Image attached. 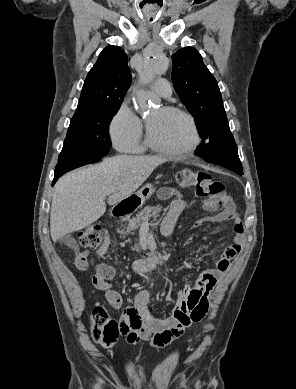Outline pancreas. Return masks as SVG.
I'll return each mask as SVG.
<instances>
[{"label":"pancreas","instance_id":"1","mask_svg":"<svg viewBox=\"0 0 296 389\" xmlns=\"http://www.w3.org/2000/svg\"><path fill=\"white\" fill-rule=\"evenodd\" d=\"M160 212H161V206L145 207L136 215L135 218L132 219H130V217L123 218L122 221L123 222L128 221V225L127 227L121 225V227H123L124 229L120 230L119 233L121 235L130 234L132 231L139 228L143 220L149 219L153 216H158Z\"/></svg>","mask_w":296,"mask_h":389}]
</instances>
